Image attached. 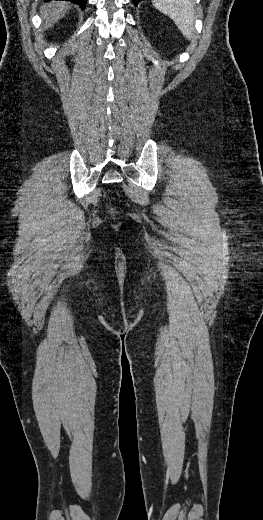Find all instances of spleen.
I'll return each instance as SVG.
<instances>
[{
	"instance_id": "3e777b00",
	"label": "spleen",
	"mask_w": 263,
	"mask_h": 520,
	"mask_svg": "<svg viewBox=\"0 0 263 520\" xmlns=\"http://www.w3.org/2000/svg\"><path fill=\"white\" fill-rule=\"evenodd\" d=\"M156 9L170 17L183 36L189 40L194 37L193 0H152Z\"/></svg>"
}]
</instances>
